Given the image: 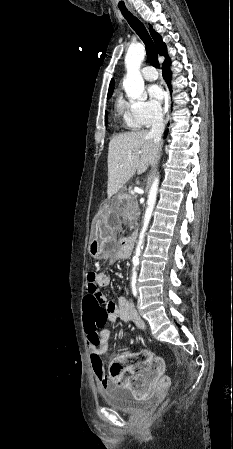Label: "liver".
<instances>
[{
    "mask_svg": "<svg viewBox=\"0 0 233 449\" xmlns=\"http://www.w3.org/2000/svg\"><path fill=\"white\" fill-rule=\"evenodd\" d=\"M157 145L146 130L113 137L108 147L107 194L111 198L137 172L144 173L154 163Z\"/></svg>",
    "mask_w": 233,
    "mask_h": 449,
    "instance_id": "obj_1",
    "label": "liver"
}]
</instances>
